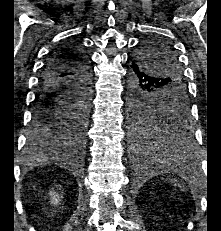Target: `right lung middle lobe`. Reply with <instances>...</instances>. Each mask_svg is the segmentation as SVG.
<instances>
[{"instance_id":"dd1d6c3e","label":"right lung middle lobe","mask_w":221,"mask_h":231,"mask_svg":"<svg viewBox=\"0 0 221 231\" xmlns=\"http://www.w3.org/2000/svg\"><path fill=\"white\" fill-rule=\"evenodd\" d=\"M88 111L89 102L85 101V97L78 95L66 101L61 114L58 116L59 123L62 124L67 137L80 146L84 143ZM57 133H59L57 130H53L48 135Z\"/></svg>"}]
</instances>
